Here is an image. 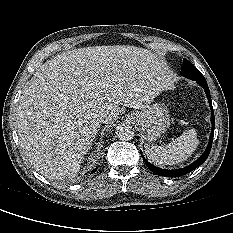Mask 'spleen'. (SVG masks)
<instances>
[{"label":"spleen","mask_w":233,"mask_h":233,"mask_svg":"<svg viewBox=\"0 0 233 233\" xmlns=\"http://www.w3.org/2000/svg\"><path fill=\"white\" fill-rule=\"evenodd\" d=\"M195 129L184 131L178 138L165 146H144L147 158L159 166L174 165L186 160L198 146Z\"/></svg>","instance_id":"1"}]
</instances>
